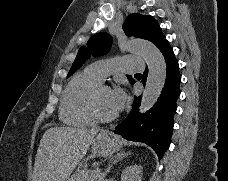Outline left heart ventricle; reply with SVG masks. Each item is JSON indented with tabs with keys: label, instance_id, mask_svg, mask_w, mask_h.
Instances as JSON below:
<instances>
[{
	"label": "left heart ventricle",
	"instance_id": "b2bd125f",
	"mask_svg": "<svg viewBox=\"0 0 228 181\" xmlns=\"http://www.w3.org/2000/svg\"><path fill=\"white\" fill-rule=\"evenodd\" d=\"M113 92L114 90L112 88H107L101 90L99 93V108L104 114H111L115 110L113 106Z\"/></svg>",
	"mask_w": 228,
	"mask_h": 181
}]
</instances>
